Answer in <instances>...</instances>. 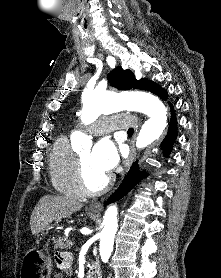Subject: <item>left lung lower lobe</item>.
<instances>
[{
  "instance_id": "obj_1",
  "label": "left lung lower lobe",
  "mask_w": 221,
  "mask_h": 278,
  "mask_svg": "<svg viewBox=\"0 0 221 278\" xmlns=\"http://www.w3.org/2000/svg\"><path fill=\"white\" fill-rule=\"evenodd\" d=\"M171 106V122L168 129V133L162 142V149L164 151V156L167 157L171 152V147L177 137V121H176V115L175 111L173 109V106ZM144 177V171L140 172L139 167L137 165V162H135L130 171L128 172L127 176L125 177L124 181L118 188V190L108 199L107 203L113 202L121 197H123L125 194H127L128 191H130L134 185L140 181Z\"/></svg>"
}]
</instances>
